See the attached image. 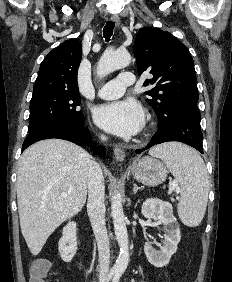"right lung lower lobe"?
<instances>
[{
  "instance_id": "right-lung-lower-lobe-1",
  "label": "right lung lower lobe",
  "mask_w": 232,
  "mask_h": 282,
  "mask_svg": "<svg viewBox=\"0 0 232 282\" xmlns=\"http://www.w3.org/2000/svg\"><path fill=\"white\" fill-rule=\"evenodd\" d=\"M50 138H59L71 141L78 145L90 146L93 147V150L99 156L104 157L105 155L103 146L96 147L95 144L90 141L91 135L89 130L84 127V122L81 124L58 122L37 131L30 132L25 138L22 150L37 141Z\"/></svg>"
}]
</instances>
